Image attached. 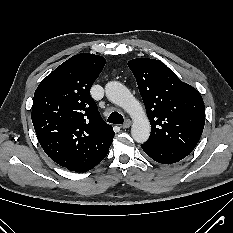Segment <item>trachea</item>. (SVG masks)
Returning <instances> with one entry per match:
<instances>
[{
    "label": "trachea",
    "instance_id": "1",
    "mask_svg": "<svg viewBox=\"0 0 233 233\" xmlns=\"http://www.w3.org/2000/svg\"><path fill=\"white\" fill-rule=\"evenodd\" d=\"M107 121L109 123H114V124H123L124 118H123V116L120 113H118V112H112L109 115Z\"/></svg>",
    "mask_w": 233,
    "mask_h": 233
}]
</instances>
